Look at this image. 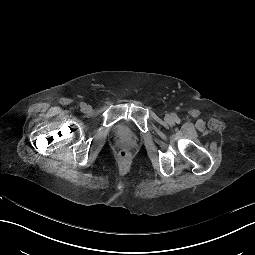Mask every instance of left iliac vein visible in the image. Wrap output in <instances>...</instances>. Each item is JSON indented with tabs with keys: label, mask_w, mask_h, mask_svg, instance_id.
<instances>
[{
	"label": "left iliac vein",
	"mask_w": 255,
	"mask_h": 255,
	"mask_svg": "<svg viewBox=\"0 0 255 255\" xmlns=\"http://www.w3.org/2000/svg\"><path fill=\"white\" fill-rule=\"evenodd\" d=\"M165 121H166L167 123L171 124V123L174 122V118H173L172 115L167 114V115L165 116Z\"/></svg>",
	"instance_id": "left-iliac-vein-1"
}]
</instances>
